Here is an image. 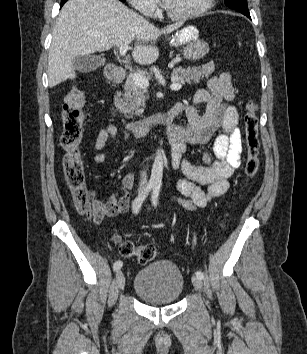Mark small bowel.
<instances>
[{
    "mask_svg": "<svg viewBox=\"0 0 307 354\" xmlns=\"http://www.w3.org/2000/svg\"><path fill=\"white\" fill-rule=\"evenodd\" d=\"M234 95L230 75L222 73L208 80L207 89H198L189 104L174 106L175 116H183L185 124L171 125L167 129L171 144V166L180 168L186 177L176 182L180 196L174 197V200L187 210L203 208L223 195L229 188V177L241 164L242 140L238 114L236 108L228 104ZM198 104L206 105L203 115L196 111L195 106ZM119 129L111 123L99 131L94 144L93 159L96 163L106 160V143L116 137ZM122 131L129 137L127 131ZM213 138L214 159L209 153H204L203 165H197L185 156L190 147L207 144ZM133 185L134 175L128 173L123 178V186L104 203L109 209L107 216L128 210V190Z\"/></svg>",
    "mask_w": 307,
    "mask_h": 354,
    "instance_id": "1",
    "label": "small bowel"
}]
</instances>
